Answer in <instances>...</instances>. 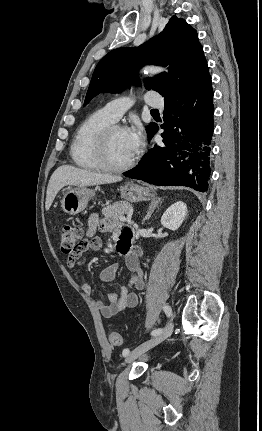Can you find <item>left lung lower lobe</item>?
Instances as JSON below:
<instances>
[{
    "instance_id": "left-lung-lower-lobe-1",
    "label": "left lung lower lobe",
    "mask_w": 262,
    "mask_h": 431,
    "mask_svg": "<svg viewBox=\"0 0 262 431\" xmlns=\"http://www.w3.org/2000/svg\"><path fill=\"white\" fill-rule=\"evenodd\" d=\"M164 100L162 143L154 145L134 169L123 175L158 186L207 191L214 130L211 77L189 92ZM157 131L155 124L149 139Z\"/></svg>"
}]
</instances>
